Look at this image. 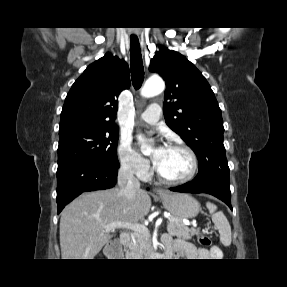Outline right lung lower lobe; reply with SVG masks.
I'll list each match as a JSON object with an SVG mask.
<instances>
[{"label":"right lung lower lobe","mask_w":287,"mask_h":287,"mask_svg":"<svg viewBox=\"0 0 287 287\" xmlns=\"http://www.w3.org/2000/svg\"><path fill=\"white\" fill-rule=\"evenodd\" d=\"M118 168L89 162H74L57 169L58 213L83 192L111 188Z\"/></svg>","instance_id":"1"}]
</instances>
